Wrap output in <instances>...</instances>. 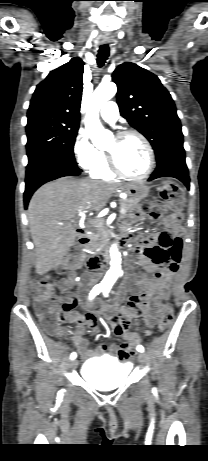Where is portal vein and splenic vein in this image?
<instances>
[{
  "mask_svg": "<svg viewBox=\"0 0 208 461\" xmlns=\"http://www.w3.org/2000/svg\"><path fill=\"white\" fill-rule=\"evenodd\" d=\"M119 212H120V214H125L126 210L124 208H121ZM79 215L84 216V213H79ZM90 223L93 224V225H98L99 224L98 220H92V221H90Z\"/></svg>",
  "mask_w": 208,
  "mask_h": 461,
  "instance_id": "1",
  "label": "portal vein and splenic vein"
}]
</instances>
